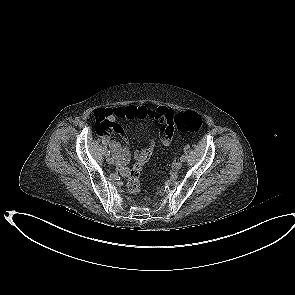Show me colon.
I'll list each match as a JSON object with an SVG mask.
<instances>
[{
	"instance_id": "5ec220e1",
	"label": "colon",
	"mask_w": 295,
	"mask_h": 295,
	"mask_svg": "<svg viewBox=\"0 0 295 295\" xmlns=\"http://www.w3.org/2000/svg\"><path fill=\"white\" fill-rule=\"evenodd\" d=\"M203 125L202 117L195 111H186L184 113L175 114L169 112L162 122V130L173 132L175 129L179 131L196 132L201 129ZM147 146L145 149H138L136 151V162L129 171L127 178V189L133 194L137 195L141 190L140 175L149 161L152 151L156 149L155 138L148 136L146 138Z\"/></svg>"
}]
</instances>
